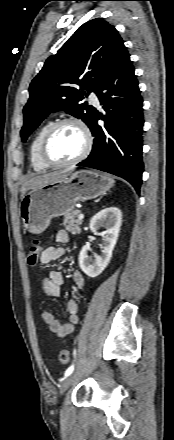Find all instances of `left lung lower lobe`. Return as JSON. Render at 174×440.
<instances>
[{
	"label": "left lung lower lobe",
	"instance_id": "0a47b994",
	"mask_svg": "<svg viewBox=\"0 0 174 440\" xmlns=\"http://www.w3.org/2000/svg\"><path fill=\"white\" fill-rule=\"evenodd\" d=\"M96 94L106 115L94 111L88 124L95 136L93 149L77 165L122 177L139 193L144 167L143 100L126 48L104 75ZM99 119L104 120L103 126L97 124Z\"/></svg>",
	"mask_w": 174,
	"mask_h": 440
}]
</instances>
